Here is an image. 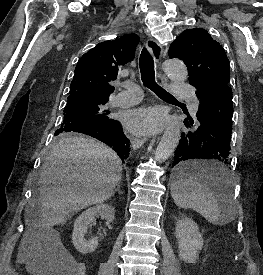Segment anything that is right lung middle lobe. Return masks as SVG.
Returning <instances> with one entry per match:
<instances>
[{
    "instance_id": "right-lung-middle-lobe-1",
    "label": "right lung middle lobe",
    "mask_w": 263,
    "mask_h": 275,
    "mask_svg": "<svg viewBox=\"0 0 263 275\" xmlns=\"http://www.w3.org/2000/svg\"><path fill=\"white\" fill-rule=\"evenodd\" d=\"M108 98L95 95H75L68 97L64 108V119L59 129L55 132V142H60L68 137L66 134L74 128L82 126H102L108 117L106 103Z\"/></svg>"
}]
</instances>
